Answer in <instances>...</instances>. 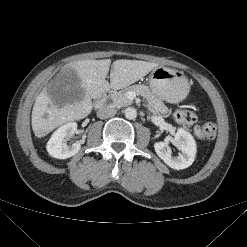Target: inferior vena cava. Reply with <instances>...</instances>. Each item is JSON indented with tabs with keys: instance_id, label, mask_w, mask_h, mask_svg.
Here are the masks:
<instances>
[{
	"instance_id": "obj_1",
	"label": "inferior vena cava",
	"mask_w": 247,
	"mask_h": 247,
	"mask_svg": "<svg viewBox=\"0 0 247 247\" xmlns=\"http://www.w3.org/2000/svg\"><path fill=\"white\" fill-rule=\"evenodd\" d=\"M117 110L112 106H106L98 110L97 116L101 119L113 117Z\"/></svg>"
}]
</instances>
